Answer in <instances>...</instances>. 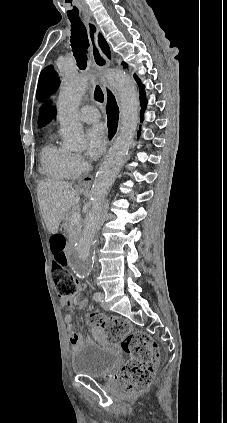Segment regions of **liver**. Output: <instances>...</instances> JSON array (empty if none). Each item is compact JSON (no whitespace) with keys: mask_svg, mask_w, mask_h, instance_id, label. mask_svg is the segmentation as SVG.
Here are the masks:
<instances>
[{"mask_svg":"<svg viewBox=\"0 0 227 423\" xmlns=\"http://www.w3.org/2000/svg\"><path fill=\"white\" fill-rule=\"evenodd\" d=\"M82 190H74L68 182L42 180L37 186V196L46 227L50 233H57L63 215L75 208Z\"/></svg>","mask_w":227,"mask_h":423,"instance_id":"obj_1","label":"liver"}]
</instances>
